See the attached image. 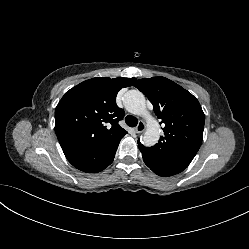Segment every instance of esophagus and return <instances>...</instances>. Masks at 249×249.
<instances>
[{
  "instance_id": "34e87169",
  "label": "esophagus",
  "mask_w": 249,
  "mask_h": 249,
  "mask_svg": "<svg viewBox=\"0 0 249 249\" xmlns=\"http://www.w3.org/2000/svg\"><path fill=\"white\" fill-rule=\"evenodd\" d=\"M146 128V125L143 121H139L138 125L135 127L136 133H142Z\"/></svg>"
}]
</instances>
